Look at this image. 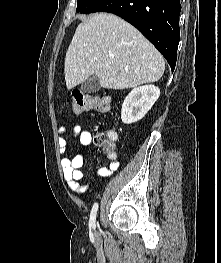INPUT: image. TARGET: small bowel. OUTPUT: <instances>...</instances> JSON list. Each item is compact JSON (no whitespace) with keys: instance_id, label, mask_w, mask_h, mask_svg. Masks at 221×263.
<instances>
[{"instance_id":"c3829d8e","label":"small bowel","mask_w":221,"mask_h":263,"mask_svg":"<svg viewBox=\"0 0 221 263\" xmlns=\"http://www.w3.org/2000/svg\"><path fill=\"white\" fill-rule=\"evenodd\" d=\"M72 137L82 146H90L92 144V135L89 131L82 129L80 126H75L71 130L68 127H60L58 130V147L62 154L61 166L63 168L64 178L69 188L77 193L89 192L92 189L91 181L81 183L83 179V173L80 168L83 165L84 157L83 154L77 152L73 157L67 156V136ZM111 141H116L117 134L114 131L107 133ZM104 152L110 159L108 167H101L97 170V175L100 177H110L114 171L119 168V162L115 152L108 150L104 147Z\"/></svg>"}]
</instances>
